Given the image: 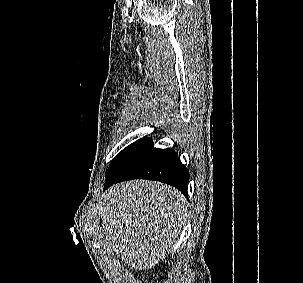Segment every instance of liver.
Returning <instances> with one entry per match:
<instances>
[{"mask_svg": "<svg viewBox=\"0 0 303 283\" xmlns=\"http://www.w3.org/2000/svg\"><path fill=\"white\" fill-rule=\"evenodd\" d=\"M187 201L175 188L148 180L110 187L101 213L106 243L127 265L148 270L165 258L187 217Z\"/></svg>", "mask_w": 303, "mask_h": 283, "instance_id": "6515ba94", "label": "liver"}]
</instances>
